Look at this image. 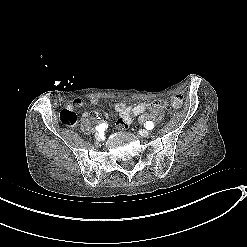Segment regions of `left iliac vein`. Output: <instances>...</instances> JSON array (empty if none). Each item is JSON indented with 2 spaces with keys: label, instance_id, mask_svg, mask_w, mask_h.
<instances>
[{
  "label": "left iliac vein",
  "instance_id": "obj_1",
  "mask_svg": "<svg viewBox=\"0 0 247 247\" xmlns=\"http://www.w3.org/2000/svg\"><path fill=\"white\" fill-rule=\"evenodd\" d=\"M139 134L143 137H148L150 135V132L148 130H140Z\"/></svg>",
  "mask_w": 247,
  "mask_h": 247
}]
</instances>
